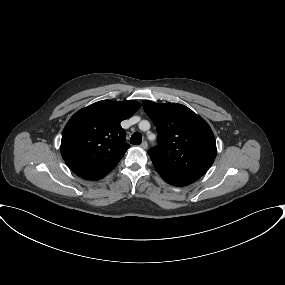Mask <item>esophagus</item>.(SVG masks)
I'll return each instance as SVG.
<instances>
[{"mask_svg":"<svg viewBox=\"0 0 285 285\" xmlns=\"http://www.w3.org/2000/svg\"><path fill=\"white\" fill-rule=\"evenodd\" d=\"M140 147H141L142 149H147L148 143H147L146 141H143V142L141 143Z\"/></svg>","mask_w":285,"mask_h":285,"instance_id":"obj_1","label":"esophagus"}]
</instances>
